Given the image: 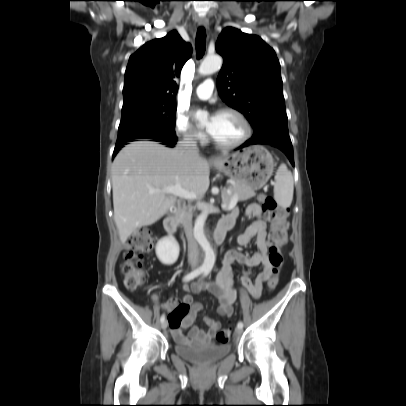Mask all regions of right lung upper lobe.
<instances>
[{
  "label": "right lung upper lobe",
  "mask_w": 406,
  "mask_h": 406,
  "mask_svg": "<svg viewBox=\"0 0 406 406\" xmlns=\"http://www.w3.org/2000/svg\"><path fill=\"white\" fill-rule=\"evenodd\" d=\"M191 54V45L175 30L144 44L129 58L123 107L142 103L175 104L177 78Z\"/></svg>",
  "instance_id": "right-lung-upper-lobe-1"
}]
</instances>
